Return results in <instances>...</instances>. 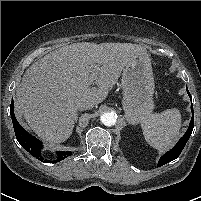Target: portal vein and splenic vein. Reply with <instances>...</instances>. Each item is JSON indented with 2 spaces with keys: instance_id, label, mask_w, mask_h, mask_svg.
I'll list each match as a JSON object with an SVG mask.
<instances>
[{
  "instance_id": "obj_1",
  "label": "portal vein and splenic vein",
  "mask_w": 201,
  "mask_h": 201,
  "mask_svg": "<svg viewBox=\"0 0 201 201\" xmlns=\"http://www.w3.org/2000/svg\"><path fill=\"white\" fill-rule=\"evenodd\" d=\"M97 70H98V67H97L96 65L93 66V69H92V76H91V79H90V83H93L94 78H95L96 75H97Z\"/></svg>"
}]
</instances>
